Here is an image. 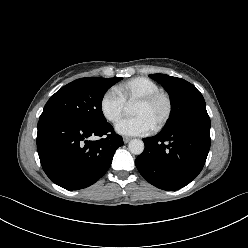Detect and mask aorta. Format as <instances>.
I'll list each match as a JSON object with an SVG mask.
<instances>
[{
	"label": "aorta",
	"mask_w": 248,
	"mask_h": 248,
	"mask_svg": "<svg viewBox=\"0 0 248 248\" xmlns=\"http://www.w3.org/2000/svg\"><path fill=\"white\" fill-rule=\"evenodd\" d=\"M129 151L134 155H140L144 151V142L140 139H133L128 144Z\"/></svg>",
	"instance_id": "obj_1"
}]
</instances>
